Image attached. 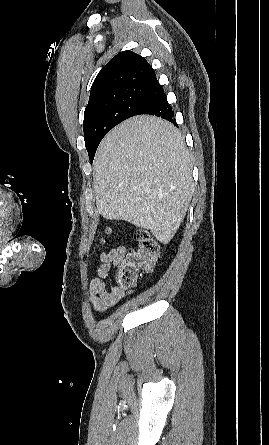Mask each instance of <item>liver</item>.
I'll use <instances>...</instances> for the list:
<instances>
[{
  "label": "liver",
  "instance_id": "liver-1",
  "mask_svg": "<svg viewBox=\"0 0 269 445\" xmlns=\"http://www.w3.org/2000/svg\"><path fill=\"white\" fill-rule=\"evenodd\" d=\"M192 159L180 131L155 116H135L112 129L94 159L96 205L109 220L174 237L192 199Z\"/></svg>",
  "mask_w": 269,
  "mask_h": 445
}]
</instances>
